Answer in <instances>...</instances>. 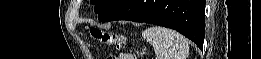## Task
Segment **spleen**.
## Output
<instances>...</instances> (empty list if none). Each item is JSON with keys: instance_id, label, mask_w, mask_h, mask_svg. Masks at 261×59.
Segmentation results:
<instances>
[{"instance_id": "obj_1", "label": "spleen", "mask_w": 261, "mask_h": 59, "mask_svg": "<svg viewBox=\"0 0 261 59\" xmlns=\"http://www.w3.org/2000/svg\"><path fill=\"white\" fill-rule=\"evenodd\" d=\"M142 36L153 46L156 59H186L189 55L187 40L174 30L152 26Z\"/></svg>"}]
</instances>
